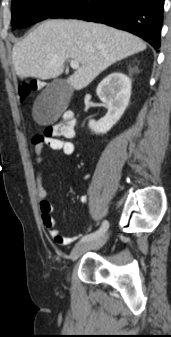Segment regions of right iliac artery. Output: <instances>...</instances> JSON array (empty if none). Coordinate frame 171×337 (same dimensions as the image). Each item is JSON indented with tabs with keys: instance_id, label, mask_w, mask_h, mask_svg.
<instances>
[{
	"instance_id": "obj_1",
	"label": "right iliac artery",
	"mask_w": 171,
	"mask_h": 337,
	"mask_svg": "<svg viewBox=\"0 0 171 337\" xmlns=\"http://www.w3.org/2000/svg\"><path fill=\"white\" fill-rule=\"evenodd\" d=\"M108 228H109V222L107 220H104L99 230L91 234L85 235L84 237H82L80 241L85 242V241H92L94 239H97L100 236H102L108 230Z\"/></svg>"
}]
</instances>
